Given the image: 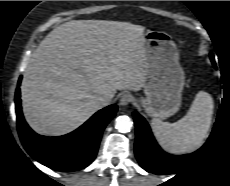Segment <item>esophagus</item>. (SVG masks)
Returning <instances> with one entry per match:
<instances>
[{
  "label": "esophagus",
  "mask_w": 230,
  "mask_h": 186,
  "mask_svg": "<svg viewBox=\"0 0 230 186\" xmlns=\"http://www.w3.org/2000/svg\"><path fill=\"white\" fill-rule=\"evenodd\" d=\"M132 100H133V97L130 94H123L120 98L119 104L121 106H126L130 102H132Z\"/></svg>",
  "instance_id": "obj_1"
}]
</instances>
